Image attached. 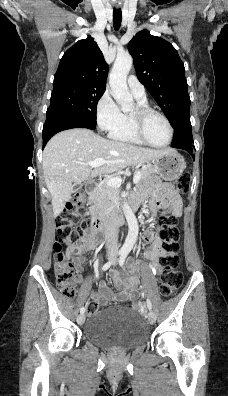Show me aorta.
<instances>
[{
    "label": "aorta",
    "mask_w": 228,
    "mask_h": 396,
    "mask_svg": "<svg viewBox=\"0 0 228 396\" xmlns=\"http://www.w3.org/2000/svg\"><path fill=\"white\" fill-rule=\"evenodd\" d=\"M133 64V59L129 54L117 55L111 73L109 75V84L111 93L116 102L120 105L122 111H129L134 104L133 97L127 86V74ZM123 212L128 223V235L122 246V250L129 252L138 237V222L134 212L127 202H123Z\"/></svg>",
    "instance_id": "obj_1"
}]
</instances>
